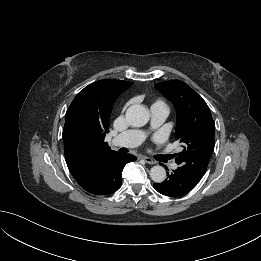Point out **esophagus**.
I'll return each mask as SVG.
<instances>
[{
    "label": "esophagus",
    "mask_w": 261,
    "mask_h": 261,
    "mask_svg": "<svg viewBox=\"0 0 261 261\" xmlns=\"http://www.w3.org/2000/svg\"><path fill=\"white\" fill-rule=\"evenodd\" d=\"M142 159L146 162V163H148V164H155V161L154 160H152L151 158H149V157H146V156H144V157H142Z\"/></svg>",
    "instance_id": "34e87169"
}]
</instances>
